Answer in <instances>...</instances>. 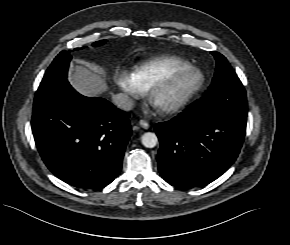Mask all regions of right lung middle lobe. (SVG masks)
Listing matches in <instances>:
<instances>
[{
	"label": "right lung middle lobe",
	"instance_id": "dd1d6c3e",
	"mask_svg": "<svg viewBox=\"0 0 290 245\" xmlns=\"http://www.w3.org/2000/svg\"><path fill=\"white\" fill-rule=\"evenodd\" d=\"M106 40H100L93 43V46H101ZM71 55L67 51L60 52L47 69L38 89L48 88L67 80L68 66Z\"/></svg>",
	"mask_w": 290,
	"mask_h": 245
}]
</instances>
